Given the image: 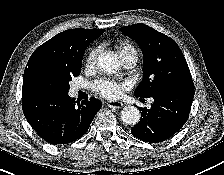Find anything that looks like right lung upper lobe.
Returning a JSON list of instances; mask_svg holds the SVG:
<instances>
[{
  "label": "right lung upper lobe",
  "mask_w": 224,
  "mask_h": 175,
  "mask_svg": "<svg viewBox=\"0 0 224 175\" xmlns=\"http://www.w3.org/2000/svg\"><path fill=\"white\" fill-rule=\"evenodd\" d=\"M104 30L71 29L61 32L38 47L31 55L24 71L22 93L34 91L33 79L45 66L76 62L83 58L88 45Z\"/></svg>",
  "instance_id": "right-lung-upper-lobe-1"
}]
</instances>
